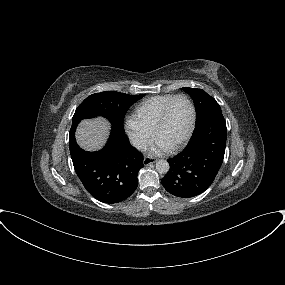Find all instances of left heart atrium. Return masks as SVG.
Wrapping results in <instances>:
<instances>
[{"mask_svg":"<svg viewBox=\"0 0 285 285\" xmlns=\"http://www.w3.org/2000/svg\"><path fill=\"white\" fill-rule=\"evenodd\" d=\"M171 147L165 143L162 139L156 137L151 147V153L155 155H161L167 152Z\"/></svg>","mask_w":285,"mask_h":285,"instance_id":"obj_1","label":"left heart atrium"}]
</instances>
